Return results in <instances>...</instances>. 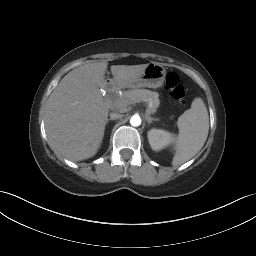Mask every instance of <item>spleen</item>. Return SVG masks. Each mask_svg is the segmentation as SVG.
<instances>
[{
  "label": "spleen",
  "instance_id": "obj_1",
  "mask_svg": "<svg viewBox=\"0 0 256 256\" xmlns=\"http://www.w3.org/2000/svg\"><path fill=\"white\" fill-rule=\"evenodd\" d=\"M179 134L175 139L173 166H178L198 153L204 146L209 131V116L201 98H195L191 108L178 119Z\"/></svg>",
  "mask_w": 256,
  "mask_h": 256
}]
</instances>
